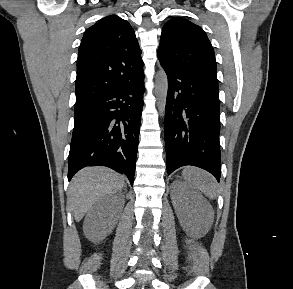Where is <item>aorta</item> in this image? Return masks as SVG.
Masks as SVG:
<instances>
[{
    "label": "aorta",
    "instance_id": "obj_1",
    "mask_svg": "<svg viewBox=\"0 0 293 289\" xmlns=\"http://www.w3.org/2000/svg\"><path fill=\"white\" fill-rule=\"evenodd\" d=\"M167 93H168L167 75L163 69H160L155 76V94L157 97V106L161 114H163L165 111Z\"/></svg>",
    "mask_w": 293,
    "mask_h": 289
}]
</instances>
